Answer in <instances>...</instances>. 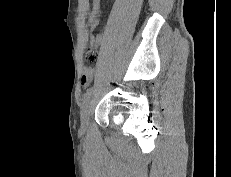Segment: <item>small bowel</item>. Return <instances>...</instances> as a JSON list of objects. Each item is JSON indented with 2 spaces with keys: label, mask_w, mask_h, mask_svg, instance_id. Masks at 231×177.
Instances as JSON below:
<instances>
[{
  "label": "small bowel",
  "mask_w": 231,
  "mask_h": 177,
  "mask_svg": "<svg viewBox=\"0 0 231 177\" xmlns=\"http://www.w3.org/2000/svg\"><path fill=\"white\" fill-rule=\"evenodd\" d=\"M99 12H100V0H93V7L88 20V27L91 31H94L99 24V19H98ZM93 41L96 45H101L103 42V38L101 35H96L94 36ZM93 76H94L93 70L91 69L84 70L82 75V83L84 85L89 84L92 81Z\"/></svg>",
  "instance_id": "1"
}]
</instances>
